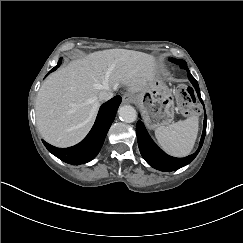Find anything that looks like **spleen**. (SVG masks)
Masks as SVG:
<instances>
[{
    "label": "spleen",
    "mask_w": 243,
    "mask_h": 243,
    "mask_svg": "<svg viewBox=\"0 0 243 243\" xmlns=\"http://www.w3.org/2000/svg\"><path fill=\"white\" fill-rule=\"evenodd\" d=\"M197 131V117L189 116L181 121L157 127L155 134L159 144L168 153L182 157L191 152Z\"/></svg>",
    "instance_id": "obj_1"
}]
</instances>
